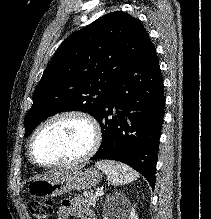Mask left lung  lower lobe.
<instances>
[{
    "label": "left lung lower lobe",
    "instance_id": "1",
    "mask_svg": "<svg viewBox=\"0 0 211 219\" xmlns=\"http://www.w3.org/2000/svg\"><path fill=\"white\" fill-rule=\"evenodd\" d=\"M163 87L156 49L148 39L106 95L96 118L102 143L91 160L123 162L141 173L154 188L165 105Z\"/></svg>",
    "mask_w": 211,
    "mask_h": 219
}]
</instances>
